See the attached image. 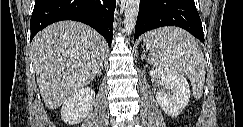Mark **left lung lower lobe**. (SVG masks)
Instances as JSON below:
<instances>
[{
  "label": "left lung lower lobe",
  "mask_w": 243,
  "mask_h": 127,
  "mask_svg": "<svg viewBox=\"0 0 243 127\" xmlns=\"http://www.w3.org/2000/svg\"><path fill=\"white\" fill-rule=\"evenodd\" d=\"M163 26L181 27L204 42L202 22L194 0H141L134 41L144 32Z\"/></svg>",
  "instance_id": "obj_1"
}]
</instances>
